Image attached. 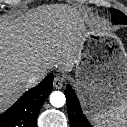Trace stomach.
Instances as JSON below:
<instances>
[{"label":"stomach","instance_id":"1","mask_svg":"<svg viewBox=\"0 0 127 127\" xmlns=\"http://www.w3.org/2000/svg\"><path fill=\"white\" fill-rule=\"evenodd\" d=\"M73 84L89 112H103L127 99V55L84 29Z\"/></svg>","mask_w":127,"mask_h":127}]
</instances>
